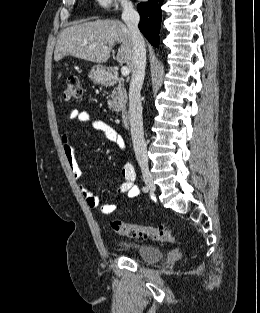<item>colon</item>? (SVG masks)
<instances>
[{
	"label": "colon",
	"instance_id": "obj_1",
	"mask_svg": "<svg viewBox=\"0 0 260 313\" xmlns=\"http://www.w3.org/2000/svg\"><path fill=\"white\" fill-rule=\"evenodd\" d=\"M81 96L82 88L79 78L77 76L69 77L63 91L64 99L67 101L78 100ZM110 226L117 234L130 238L169 243L175 241L173 232L164 226H142L118 219L111 220Z\"/></svg>",
	"mask_w": 260,
	"mask_h": 313
}]
</instances>
